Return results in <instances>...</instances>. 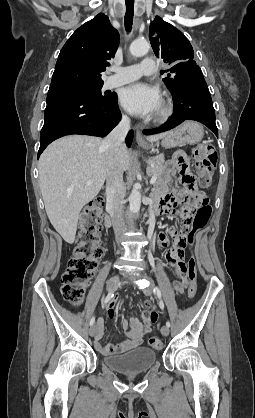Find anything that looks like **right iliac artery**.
<instances>
[{"label":"right iliac artery","instance_id":"obj_1","mask_svg":"<svg viewBox=\"0 0 255 418\" xmlns=\"http://www.w3.org/2000/svg\"><path fill=\"white\" fill-rule=\"evenodd\" d=\"M113 296H114V293L109 292L108 295L106 296V298L103 300V304H106L108 301H110L113 298ZM94 322H95V317H92L90 322H89V325L92 326L94 324Z\"/></svg>","mask_w":255,"mask_h":418}]
</instances>
